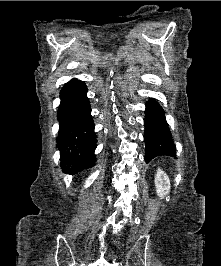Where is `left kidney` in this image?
Listing matches in <instances>:
<instances>
[{
    "instance_id": "1",
    "label": "left kidney",
    "mask_w": 221,
    "mask_h": 266,
    "mask_svg": "<svg viewBox=\"0 0 221 266\" xmlns=\"http://www.w3.org/2000/svg\"><path fill=\"white\" fill-rule=\"evenodd\" d=\"M156 193L159 197L164 198L170 191V180L168 175L161 169L157 170L155 177Z\"/></svg>"
}]
</instances>
